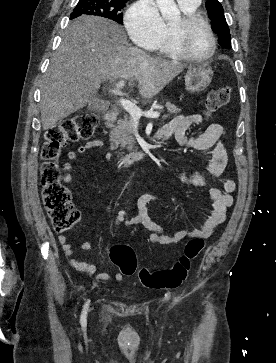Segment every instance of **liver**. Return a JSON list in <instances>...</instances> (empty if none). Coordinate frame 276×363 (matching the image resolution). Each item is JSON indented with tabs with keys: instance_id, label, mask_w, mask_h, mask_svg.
Returning a JSON list of instances; mask_svg holds the SVG:
<instances>
[{
	"instance_id": "liver-1",
	"label": "liver",
	"mask_w": 276,
	"mask_h": 363,
	"mask_svg": "<svg viewBox=\"0 0 276 363\" xmlns=\"http://www.w3.org/2000/svg\"><path fill=\"white\" fill-rule=\"evenodd\" d=\"M185 64L154 58L133 47L117 23L95 16L72 21L62 35L41 85L44 130L85 107L104 80H133L150 99L179 75Z\"/></svg>"
}]
</instances>
